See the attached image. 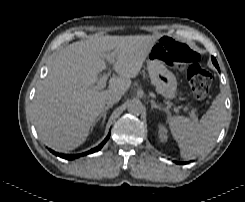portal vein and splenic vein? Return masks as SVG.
I'll list each match as a JSON object with an SVG mask.
<instances>
[{
	"label": "portal vein and splenic vein",
	"mask_w": 245,
	"mask_h": 202,
	"mask_svg": "<svg viewBox=\"0 0 245 202\" xmlns=\"http://www.w3.org/2000/svg\"><path fill=\"white\" fill-rule=\"evenodd\" d=\"M115 55H116L115 52H112V53H109V54H105V58L108 60V62L110 64H113L114 61H115ZM109 75H110V72H108V73L104 74L102 77H100L99 81L97 82V86H96V88L98 90H101V89L105 88L106 82H107V79H108ZM174 110L176 112H178L177 108H174ZM190 116H191V118L196 119V116H195L194 112H191Z\"/></svg>",
	"instance_id": "obj_1"
}]
</instances>
